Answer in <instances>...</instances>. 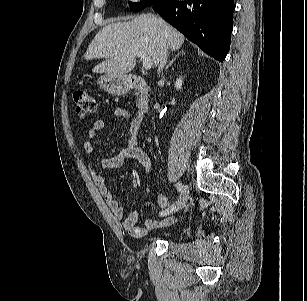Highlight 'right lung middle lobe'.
<instances>
[{
	"label": "right lung middle lobe",
	"mask_w": 307,
	"mask_h": 301,
	"mask_svg": "<svg viewBox=\"0 0 307 301\" xmlns=\"http://www.w3.org/2000/svg\"><path fill=\"white\" fill-rule=\"evenodd\" d=\"M157 1L159 0H145L144 2H139V3L129 2L130 10L134 12L140 11L147 6L155 4Z\"/></svg>",
	"instance_id": "1"
}]
</instances>
